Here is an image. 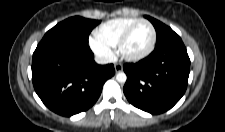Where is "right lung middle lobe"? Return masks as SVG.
Returning <instances> with one entry per match:
<instances>
[{
	"label": "right lung middle lobe",
	"instance_id": "1",
	"mask_svg": "<svg viewBox=\"0 0 225 132\" xmlns=\"http://www.w3.org/2000/svg\"><path fill=\"white\" fill-rule=\"evenodd\" d=\"M99 23V20L86 19L79 16L71 17L50 29L44 35L42 41L57 39L88 44L90 32Z\"/></svg>",
	"mask_w": 225,
	"mask_h": 132
}]
</instances>
